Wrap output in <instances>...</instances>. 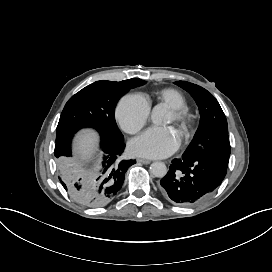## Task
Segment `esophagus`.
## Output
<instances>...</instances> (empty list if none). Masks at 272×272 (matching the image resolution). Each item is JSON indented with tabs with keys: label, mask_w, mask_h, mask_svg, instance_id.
<instances>
[{
	"label": "esophagus",
	"mask_w": 272,
	"mask_h": 272,
	"mask_svg": "<svg viewBox=\"0 0 272 272\" xmlns=\"http://www.w3.org/2000/svg\"><path fill=\"white\" fill-rule=\"evenodd\" d=\"M137 161L142 163V164H150L151 163L150 160L144 159V158H138Z\"/></svg>",
	"instance_id": "obj_1"
}]
</instances>
